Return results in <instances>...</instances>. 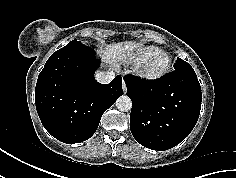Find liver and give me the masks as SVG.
I'll return each mask as SVG.
<instances>
[{"label":"liver","mask_w":236,"mask_h":178,"mask_svg":"<svg viewBox=\"0 0 236 178\" xmlns=\"http://www.w3.org/2000/svg\"><path fill=\"white\" fill-rule=\"evenodd\" d=\"M137 47L138 44L132 41L107 45L101 55L103 62L109 63L110 61L125 59Z\"/></svg>","instance_id":"1"}]
</instances>
